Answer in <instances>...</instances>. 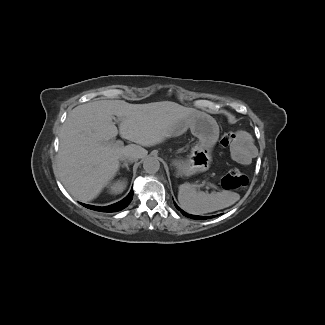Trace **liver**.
<instances>
[{
    "instance_id": "1",
    "label": "liver",
    "mask_w": 325,
    "mask_h": 325,
    "mask_svg": "<svg viewBox=\"0 0 325 325\" xmlns=\"http://www.w3.org/2000/svg\"><path fill=\"white\" fill-rule=\"evenodd\" d=\"M198 112L171 101L129 104L123 100H98L75 107L59 134L53 170L71 196L82 202L95 199L113 179L120 156L142 146L161 143L181 118ZM116 116L119 131L112 118ZM139 145L124 147L109 142L117 134Z\"/></svg>"
}]
</instances>
